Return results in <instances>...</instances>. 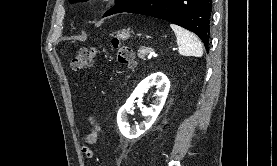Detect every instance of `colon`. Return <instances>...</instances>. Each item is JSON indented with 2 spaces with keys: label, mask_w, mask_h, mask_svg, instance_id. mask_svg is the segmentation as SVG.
Instances as JSON below:
<instances>
[{
  "label": "colon",
  "mask_w": 277,
  "mask_h": 166,
  "mask_svg": "<svg viewBox=\"0 0 277 166\" xmlns=\"http://www.w3.org/2000/svg\"><path fill=\"white\" fill-rule=\"evenodd\" d=\"M112 46L115 50L117 62L121 65L133 67L135 65V58L132 49L123 44L119 39H112ZM97 56L95 48H83L72 60V68L80 71L91 67Z\"/></svg>",
  "instance_id": "1"
}]
</instances>
